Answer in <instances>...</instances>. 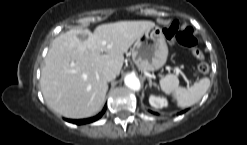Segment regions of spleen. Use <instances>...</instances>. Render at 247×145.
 <instances>
[{"label":"spleen","mask_w":247,"mask_h":145,"mask_svg":"<svg viewBox=\"0 0 247 145\" xmlns=\"http://www.w3.org/2000/svg\"><path fill=\"white\" fill-rule=\"evenodd\" d=\"M160 87L166 94H172L181 108L192 106L201 100L210 86V79L204 77L195 82L190 88L179 86V80L174 74H167L160 79Z\"/></svg>","instance_id":"obj_1"}]
</instances>
